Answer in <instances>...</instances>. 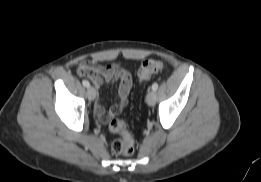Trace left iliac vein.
<instances>
[{
  "label": "left iliac vein",
  "mask_w": 261,
  "mask_h": 182,
  "mask_svg": "<svg viewBox=\"0 0 261 182\" xmlns=\"http://www.w3.org/2000/svg\"><path fill=\"white\" fill-rule=\"evenodd\" d=\"M146 102L148 105L153 106L156 102V93L154 90L148 92L146 96Z\"/></svg>",
  "instance_id": "1"
}]
</instances>
